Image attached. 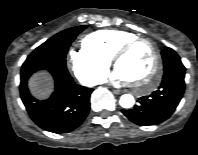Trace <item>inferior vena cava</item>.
<instances>
[{
  "label": "inferior vena cava",
  "mask_w": 198,
  "mask_h": 155,
  "mask_svg": "<svg viewBox=\"0 0 198 155\" xmlns=\"http://www.w3.org/2000/svg\"><path fill=\"white\" fill-rule=\"evenodd\" d=\"M99 83H100L99 80H93V81H91V82L89 83V85H90V86H93V85H97V84H99Z\"/></svg>",
  "instance_id": "inferior-vena-cava-1"
}]
</instances>
